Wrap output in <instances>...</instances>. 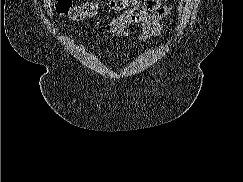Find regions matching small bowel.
<instances>
[{"label": "small bowel", "mask_w": 243, "mask_h": 182, "mask_svg": "<svg viewBox=\"0 0 243 182\" xmlns=\"http://www.w3.org/2000/svg\"><path fill=\"white\" fill-rule=\"evenodd\" d=\"M166 0H134L132 7L115 18L102 22L96 21L95 27L100 33L116 37L128 36L131 25L142 27L141 41L157 37L163 30V20L170 13Z\"/></svg>", "instance_id": "1"}]
</instances>
